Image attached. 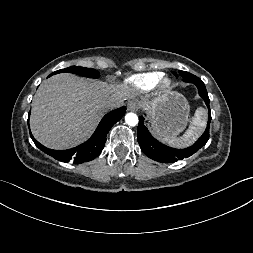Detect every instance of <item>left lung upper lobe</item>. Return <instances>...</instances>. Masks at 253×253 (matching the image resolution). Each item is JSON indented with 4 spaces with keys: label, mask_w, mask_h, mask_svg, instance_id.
I'll list each match as a JSON object with an SVG mask.
<instances>
[{
    "label": "left lung upper lobe",
    "mask_w": 253,
    "mask_h": 253,
    "mask_svg": "<svg viewBox=\"0 0 253 253\" xmlns=\"http://www.w3.org/2000/svg\"><path fill=\"white\" fill-rule=\"evenodd\" d=\"M174 74H175V76H177L176 73H174ZM179 75L182 76L184 79H186V78H188L191 75V73L179 70Z\"/></svg>",
    "instance_id": "left-lung-upper-lobe-1"
}]
</instances>
